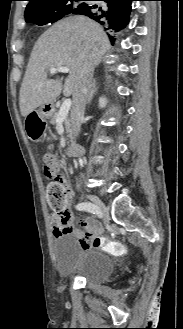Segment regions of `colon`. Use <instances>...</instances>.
Masks as SVG:
<instances>
[{"mask_svg": "<svg viewBox=\"0 0 183 329\" xmlns=\"http://www.w3.org/2000/svg\"><path fill=\"white\" fill-rule=\"evenodd\" d=\"M41 29L39 26L36 28ZM27 44H35V37H27ZM45 174L51 180L47 188V199L53 215L64 218L68 213V205L70 200V191L68 186L62 179L60 169L53 167L49 158H45ZM94 244L97 247L109 249L116 254L125 252V248L117 243H109L103 237H96Z\"/></svg>", "mask_w": 183, "mask_h": 329, "instance_id": "5ec220e1", "label": "colon"}]
</instances>
